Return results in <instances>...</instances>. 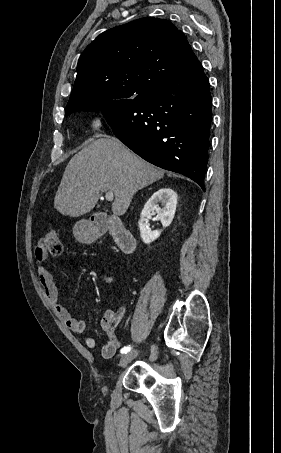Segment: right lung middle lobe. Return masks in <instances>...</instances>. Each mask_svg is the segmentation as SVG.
Returning <instances> with one entry per match:
<instances>
[{
    "label": "right lung middle lobe",
    "instance_id": "right-lung-middle-lobe-1",
    "mask_svg": "<svg viewBox=\"0 0 281 453\" xmlns=\"http://www.w3.org/2000/svg\"><path fill=\"white\" fill-rule=\"evenodd\" d=\"M92 111H98V110H92ZM92 111H90V112H92Z\"/></svg>",
    "mask_w": 281,
    "mask_h": 453
}]
</instances>
